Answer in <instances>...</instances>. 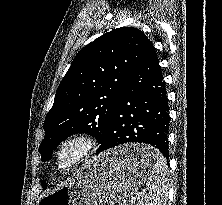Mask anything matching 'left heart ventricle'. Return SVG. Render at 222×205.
<instances>
[{
    "instance_id": "obj_1",
    "label": "left heart ventricle",
    "mask_w": 222,
    "mask_h": 205,
    "mask_svg": "<svg viewBox=\"0 0 222 205\" xmlns=\"http://www.w3.org/2000/svg\"><path fill=\"white\" fill-rule=\"evenodd\" d=\"M77 148L76 147H68L64 150L62 154L63 161H70L76 155Z\"/></svg>"
}]
</instances>
